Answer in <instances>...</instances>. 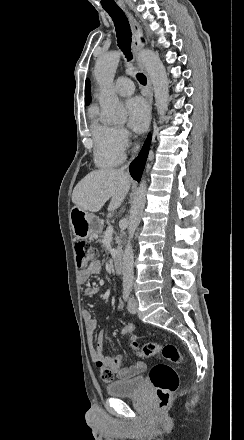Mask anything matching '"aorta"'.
I'll list each match as a JSON object with an SVG mask.
<instances>
[{"label": "aorta", "instance_id": "1", "mask_svg": "<svg viewBox=\"0 0 244 440\" xmlns=\"http://www.w3.org/2000/svg\"><path fill=\"white\" fill-rule=\"evenodd\" d=\"M120 60V53L117 51L107 53L98 58L95 66V77L100 85L99 102L102 109L103 118L108 123H124L126 111L122 102L118 99L113 90L115 72ZM139 60L145 66L149 78L152 82L157 112L160 120L163 119L168 110L169 89L168 78L165 67L158 54L151 50H142ZM147 184L143 180L131 204L130 216L128 221V241L123 253L122 277L123 285L131 287L134 279V253L131 241L140 223L142 213L146 203Z\"/></svg>", "mask_w": 244, "mask_h": 440}]
</instances>
